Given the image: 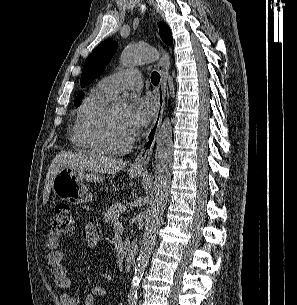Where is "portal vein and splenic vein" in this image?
Here are the masks:
<instances>
[{
  "label": "portal vein and splenic vein",
  "mask_w": 297,
  "mask_h": 305,
  "mask_svg": "<svg viewBox=\"0 0 297 305\" xmlns=\"http://www.w3.org/2000/svg\"><path fill=\"white\" fill-rule=\"evenodd\" d=\"M118 227H119V228H122V225H119Z\"/></svg>",
  "instance_id": "obj_1"
}]
</instances>
